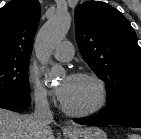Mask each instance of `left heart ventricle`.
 Masks as SVG:
<instances>
[{"label":"left heart ventricle","mask_w":141,"mask_h":139,"mask_svg":"<svg viewBox=\"0 0 141 139\" xmlns=\"http://www.w3.org/2000/svg\"><path fill=\"white\" fill-rule=\"evenodd\" d=\"M68 90L63 103L71 109L82 110L93 106L99 98L97 85L87 78L67 77Z\"/></svg>","instance_id":"b2bd125f"}]
</instances>
